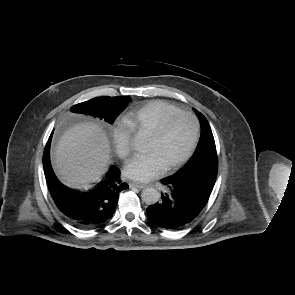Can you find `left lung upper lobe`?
I'll return each instance as SVG.
<instances>
[{"label":"left lung upper lobe","mask_w":295,"mask_h":295,"mask_svg":"<svg viewBox=\"0 0 295 295\" xmlns=\"http://www.w3.org/2000/svg\"><path fill=\"white\" fill-rule=\"evenodd\" d=\"M198 116L201 124V137L199 143L187 165L177 172V174L187 172L207 163L218 166L216 146L210 125L201 113H198Z\"/></svg>","instance_id":"left-lung-upper-lobe-1"}]
</instances>
